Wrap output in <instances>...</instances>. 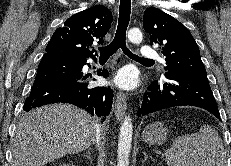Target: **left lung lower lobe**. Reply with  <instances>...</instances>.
I'll use <instances>...</instances> for the list:
<instances>
[{"mask_svg":"<svg viewBox=\"0 0 231 166\" xmlns=\"http://www.w3.org/2000/svg\"><path fill=\"white\" fill-rule=\"evenodd\" d=\"M186 105L203 108L220 120L218 106L206 74L166 71L160 80L152 82L145 93L138 108V116Z\"/></svg>","mask_w":231,"mask_h":166,"instance_id":"obj_1","label":"left lung lower lobe"}]
</instances>
